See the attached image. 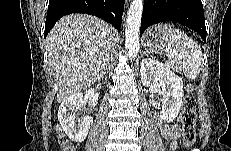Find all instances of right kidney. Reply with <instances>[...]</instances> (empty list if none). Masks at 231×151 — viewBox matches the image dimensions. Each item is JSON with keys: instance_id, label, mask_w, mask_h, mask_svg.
Returning a JSON list of instances; mask_svg holds the SVG:
<instances>
[{"instance_id": "1", "label": "right kidney", "mask_w": 231, "mask_h": 151, "mask_svg": "<svg viewBox=\"0 0 231 151\" xmlns=\"http://www.w3.org/2000/svg\"><path fill=\"white\" fill-rule=\"evenodd\" d=\"M94 101H96L95 89L91 88L84 93L76 92L61 103L58 110V120L72 141L80 143L85 140L93 123V118L86 115L82 119H77L76 112L85 102L92 103Z\"/></svg>"}]
</instances>
